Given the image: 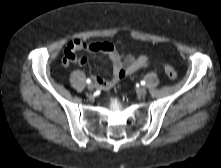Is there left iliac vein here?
Returning <instances> with one entry per match:
<instances>
[{
  "mask_svg": "<svg viewBox=\"0 0 221 168\" xmlns=\"http://www.w3.org/2000/svg\"><path fill=\"white\" fill-rule=\"evenodd\" d=\"M147 93V89L145 87H140L137 89V94L140 96H144Z\"/></svg>",
  "mask_w": 221,
  "mask_h": 168,
  "instance_id": "4c4485c4",
  "label": "left iliac vein"
}]
</instances>
